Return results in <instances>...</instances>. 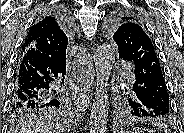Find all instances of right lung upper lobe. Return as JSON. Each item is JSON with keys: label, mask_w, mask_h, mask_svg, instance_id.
Returning a JSON list of instances; mask_svg holds the SVG:
<instances>
[{"label": "right lung upper lobe", "mask_w": 184, "mask_h": 133, "mask_svg": "<svg viewBox=\"0 0 184 133\" xmlns=\"http://www.w3.org/2000/svg\"><path fill=\"white\" fill-rule=\"evenodd\" d=\"M70 33L55 10L41 16L29 30L22 45L20 56L28 50L53 59L66 57Z\"/></svg>", "instance_id": "1"}]
</instances>
